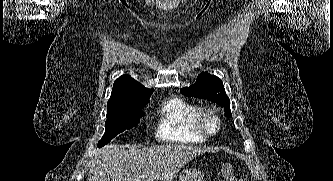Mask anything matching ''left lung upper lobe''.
<instances>
[{
  "label": "left lung upper lobe",
  "instance_id": "left-lung-upper-lobe-1",
  "mask_svg": "<svg viewBox=\"0 0 333 181\" xmlns=\"http://www.w3.org/2000/svg\"><path fill=\"white\" fill-rule=\"evenodd\" d=\"M181 93L189 96L207 99L224 108L225 115L231 117L230 101L224 90L223 82L218 77L207 72L201 73L195 84L182 88Z\"/></svg>",
  "mask_w": 333,
  "mask_h": 181
}]
</instances>
